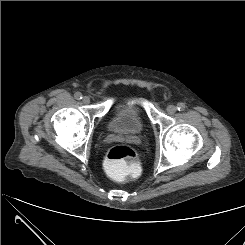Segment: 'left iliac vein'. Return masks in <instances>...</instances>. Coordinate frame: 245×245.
<instances>
[{
	"label": "left iliac vein",
	"instance_id": "obj_1",
	"mask_svg": "<svg viewBox=\"0 0 245 245\" xmlns=\"http://www.w3.org/2000/svg\"><path fill=\"white\" fill-rule=\"evenodd\" d=\"M177 111V108L174 106V105H169L168 107H167V112L169 113V114H174L175 112Z\"/></svg>",
	"mask_w": 245,
	"mask_h": 245
}]
</instances>
